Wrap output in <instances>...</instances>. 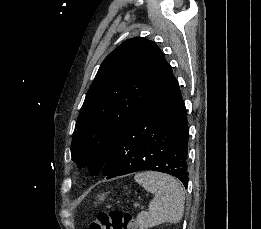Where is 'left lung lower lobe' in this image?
Here are the masks:
<instances>
[{"mask_svg": "<svg viewBox=\"0 0 261 229\" xmlns=\"http://www.w3.org/2000/svg\"><path fill=\"white\" fill-rule=\"evenodd\" d=\"M188 122L178 82L172 75L126 125L105 161L107 179L153 170L188 185Z\"/></svg>", "mask_w": 261, "mask_h": 229, "instance_id": "0a47b994", "label": "left lung lower lobe"}]
</instances>
